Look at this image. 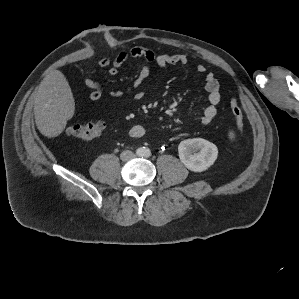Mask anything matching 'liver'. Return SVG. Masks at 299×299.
<instances>
[{
	"mask_svg": "<svg viewBox=\"0 0 299 299\" xmlns=\"http://www.w3.org/2000/svg\"><path fill=\"white\" fill-rule=\"evenodd\" d=\"M75 112V101L68 81L59 70L47 74L35 92L34 115L44 136H59Z\"/></svg>",
	"mask_w": 299,
	"mask_h": 299,
	"instance_id": "liver-1",
	"label": "liver"
}]
</instances>
